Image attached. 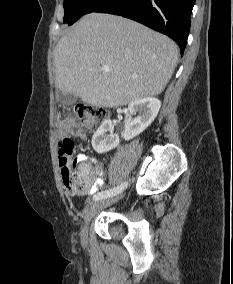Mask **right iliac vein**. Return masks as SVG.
Segmentation results:
<instances>
[{
  "label": "right iliac vein",
  "mask_w": 233,
  "mask_h": 284,
  "mask_svg": "<svg viewBox=\"0 0 233 284\" xmlns=\"http://www.w3.org/2000/svg\"><path fill=\"white\" fill-rule=\"evenodd\" d=\"M124 194L128 193L127 189L123 190ZM122 197V194H116L111 197L95 200L91 203H89L85 209H84V214H83V219H84V224L81 228V242L83 244H86L87 242V235H88V224L91 221V219L100 211L102 210L105 206L111 204L112 202L120 199Z\"/></svg>",
  "instance_id": "1"
}]
</instances>
